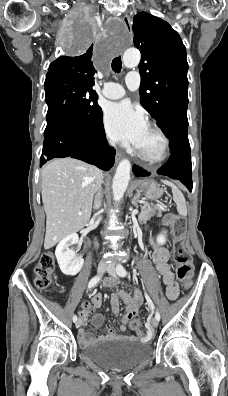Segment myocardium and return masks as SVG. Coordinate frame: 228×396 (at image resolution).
<instances>
[{"label":"myocardium","instance_id":"myocardium-1","mask_svg":"<svg viewBox=\"0 0 228 396\" xmlns=\"http://www.w3.org/2000/svg\"><path fill=\"white\" fill-rule=\"evenodd\" d=\"M148 128L156 133L162 141V149L159 155L152 157L149 155L144 154L138 148L136 149L137 156L144 162L149 164H160L164 162L167 157L169 156L170 151V141L167 135L163 132V130L158 127L156 124H149Z\"/></svg>","mask_w":228,"mask_h":396}]
</instances>
